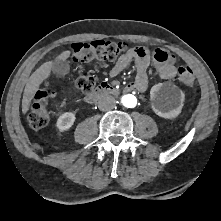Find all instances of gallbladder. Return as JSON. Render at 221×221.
Here are the masks:
<instances>
[{"mask_svg": "<svg viewBox=\"0 0 221 221\" xmlns=\"http://www.w3.org/2000/svg\"><path fill=\"white\" fill-rule=\"evenodd\" d=\"M70 66L65 60H55L52 64V71L57 77H64L69 73Z\"/></svg>", "mask_w": 221, "mask_h": 221, "instance_id": "1", "label": "gallbladder"}]
</instances>
